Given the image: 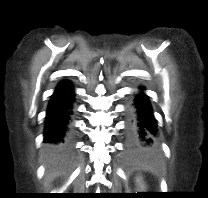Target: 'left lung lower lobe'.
Segmentation results:
<instances>
[{
	"instance_id": "1",
	"label": "left lung lower lobe",
	"mask_w": 208,
	"mask_h": 198,
	"mask_svg": "<svg viewBox=\"0 0 208 198\" xmlns=\"http://www.w3.org/2000/svg\"><path fill=\"white\" fill-rule=\"evenodd\" d=\"M125 135L126 153L131 157L147 156L158 149L156 121L148 98L143 93L127 110Z\"/></svg>"
}]
</instances>
